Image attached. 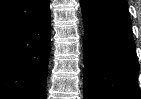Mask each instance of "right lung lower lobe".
<instances>
[{
    "instance_id": "right-lung-lower-lobe-1",
    "label": "right lung lower lobe",
    "mask_w": 141,
    "mask_h": 99,
    "mask_svg": "<svg viewBox=\"0 0 141 99\" xmlns=\"http://www.w3.org/2000/svg\"><path fill=\"white\" fill-rule=\"evenodd\" d=\"M49 0L0 5V99H45Z\"/></svg>"
}]
</instances>
